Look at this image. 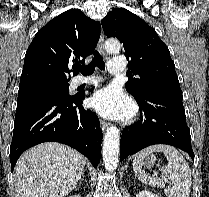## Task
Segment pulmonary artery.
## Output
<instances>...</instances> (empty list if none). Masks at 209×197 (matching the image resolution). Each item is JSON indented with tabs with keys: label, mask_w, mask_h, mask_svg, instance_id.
I'll return each instance as SVG.
<instances>
[{
	"label": "pulmonary artery",
	"mask_w": 209,
	"mask_h": 197,
	"mask_svg": "<svg viewBox=\"0 0 209 197\" xmlns=\"http://www.w3.org/2000/svg\"><path fill=\"white\" fill-rule=\"evenodd\" d=\"M108 71L111 74H121L124 71V65H123V60L119 57H115L111 59L108 63ZM100 80L94 77L87 78V79H78L77 83L78 84H89V85H94L99 83Z\"/></svg>",
	"instance_id": "1"
}]
</instances>
